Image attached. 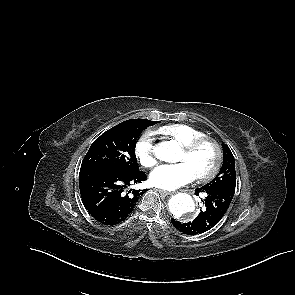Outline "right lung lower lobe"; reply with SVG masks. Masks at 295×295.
Instances as JSON below:
<instances>
[{
	"label": "right lung lower lobe",
	"instance_id": "98d812e1",
	"mask_svg": "<svg viewBox=\"0 0 295 295\" xmlns=\"http://www.w3.org/2000/svg\"><path fill=\"white\" fill-rule=\"evenodd\" d=\"M146 180L143 171H88L79 175L82 202L98 222L116 225L129 217L138 199L146 191L128 190Z\"/></svg>",
	"mask_w": 295,
	"mask_h": 295
}]
</instances>
